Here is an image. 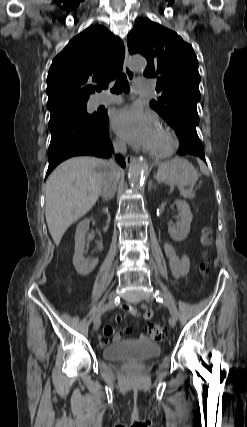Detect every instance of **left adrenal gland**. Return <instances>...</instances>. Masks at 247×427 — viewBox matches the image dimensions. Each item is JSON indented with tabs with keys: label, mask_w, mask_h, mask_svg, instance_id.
Here are the masks:
<instances>
[{
	"label": "left adrenal gland",
	"mask_w": 247,
	"mask_h": 427,
	"mask_svg": "<svg viewBox=\"0 0 247 427\" xmlns=\"http://www.w3.org/2000/svg\"><path fill=\"white\" fill-rule=\"evenodd\" d=\"M152 188L155 189V187L153 186L152 182H150L149 186H148V190L150 191Z\"/></svg>",
	"instance_id": "obj_1"
}]
</instances>
